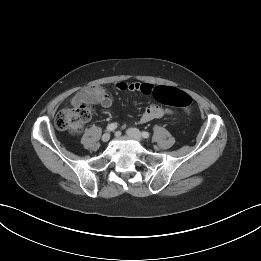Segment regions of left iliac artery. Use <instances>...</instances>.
Returning <instances> with one entry per match:
<instances>
[{"instance_id": "obj_1", "label": "left iliac artery", "mask_w": 261, "mask_h": 261, "mask_svg": "<svg viewBox=\"0 0 261 261\" xmlns=\"http://www.w3.org/2000/svg\"><path fill=\"white\" fill-rule=\"evenodd\" d=\"M141 134H142V137H144V138H148L150 136V134L146 131H143Z\"/></svg>"}]
</instances>
